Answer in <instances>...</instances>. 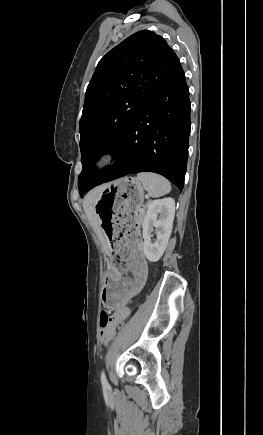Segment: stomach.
Listing matches in <instances>:
<instances>
[{"instance_id":"obj_1","label":"stomach","mask_w":263,"mask_h":435,"mask_svg":"<svg viewBox=\"0 0 263 435\" xmlns=\"http://www.w3.org/2000/svg\"><path fill=\"white\" fill-rule=\"evenodd\" d=\"M144 199L136 177H123L105 185L95 200L98 231L107 238L110 260L105 261V310H120L137 299L148 280L147 261L141 260L143 234L138 209Z\"/></svg>"}]
</instances>
